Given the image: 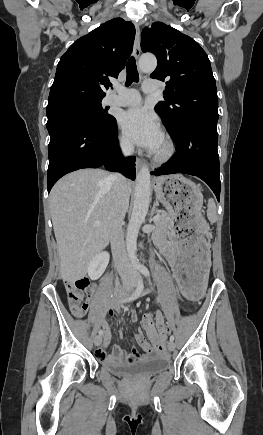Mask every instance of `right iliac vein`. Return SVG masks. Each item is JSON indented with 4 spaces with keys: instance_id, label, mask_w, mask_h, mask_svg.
I'll use <instances>...</instances> for the list:
<instances>
[{
    "instance_id": "obj_1",
    "label": "right iliac vein",
    "mask_w": 263,
    "mask_h": 435,
    "mask_svg": "<svg viewBox=\"0 0 263 435\" xmlns=\"http://www.w3.org/2000/svg\"><path fill=\"white\" fill-rule=\"evenodd\" d=\"M94 343L96 346H99L102 343V337L101 335H97L94 339Z\"/></svg>"
}]
</instances>
